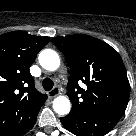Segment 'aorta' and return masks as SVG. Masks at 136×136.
<instances>
[{"mask_svg":"<svg viewBox=\"0 0 136 136\" xmlns=\"http://www.w3.org/2000/svg\"><path fill=\"white\" fill-rule=\"evenodd\" d=\"M38 59L40 65L48 71H55L60 66L59 55L51 49L42 50ZM53 109L59 115H67L71 109L70 100L65 96L56 97L53 101Z\"/></svg>","mask_w":136,"mask_h":136,"instance_id":"aorta-1","label":"aorta"}]
</instances>
